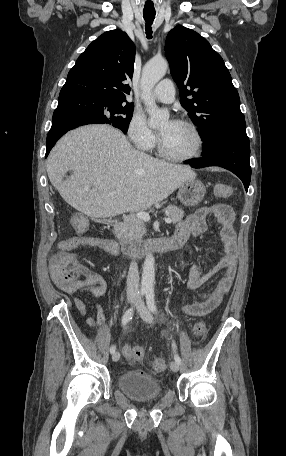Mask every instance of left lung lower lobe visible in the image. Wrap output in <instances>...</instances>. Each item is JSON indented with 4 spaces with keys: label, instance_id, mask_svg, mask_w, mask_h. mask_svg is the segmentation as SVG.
<instances>
[{
    "label": "left lung lower lobe",
    "instance_id": "1",
    "mask_svg": "<svg viewBox=\"0 0 286 456\" xmlns=\"http://www.w3.org/2000/svg\"><path fill=\"white\" fill-rule=\"evenodd\" d=\"M203 158L189 164L193 168L219 166L236 174L246 191L251 180L249 138L238 135H222L202 147Z\"/></svg>",
    "mask_w": 286,
    "mask_h": 456
}]
</instances>
